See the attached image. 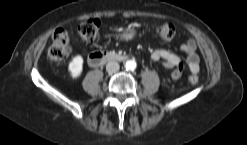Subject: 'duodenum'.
Listing matches in <instances>:
<instances>
[{
	"mask_svg": "<svg viewBox=\"0 0 247 145\" xmlns=\"http://www.w3.org/2000/svg\"><path fill=\"white\" fill-rule=\"evenodd\" d=\"M126 58V56L120 54L97 51L89 55L88 62L93 67H99L106 62H119L125 60Z\"/></svg>",
	"mask_w": 247,
	"mask_h": 145,
	"instance_id": "obj_1",
	"label": "duodenum"
}]
</instances>
